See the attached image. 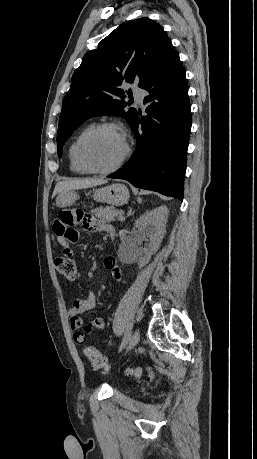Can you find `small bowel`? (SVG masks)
Segmentation results:
<instances>
[{"instance_id": "1", "label": "small bowel", "mask_w": 257, "mask_h": 459, "mask_svg": "<svg viewBox=\"0 0 257 459\" xmlns=\"http://www.w3.org/2000/svg\"><path fill=\"white\" fill-rule=\"evenodd\" d=\"M74 226H86L92 231L114 232L113 227L100 217H91L90 211H87L86 205H63L62 211L57 212V219L53 220L52 227L55 236L65 247L64 256L71 260L77 259L74 247H77L81 239L80 232ZM104 266L110 271L112 278L120 282L122 272L117 266L114 257H106ZM97 304L95 292L89 291L85 297L75 299L68 309L69 325L73 332V339L79 346H84L87 335L92 330H105L106 323L101 318H96L90 325L84 327L82 315L93 311Z\"/></svg>"}]
</instances>
